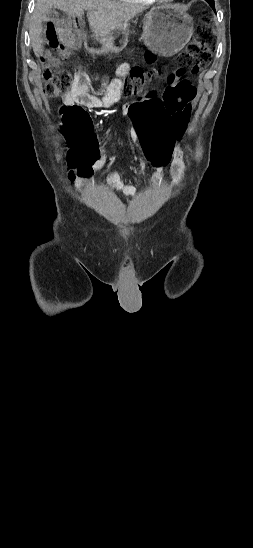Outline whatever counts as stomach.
<instances>
[{
  "mask_svg": "<svg viewBox=\"0 0 253 548\" xmlns=\"http://www.w3.org/2000/svg\"><path fill=\"white\" fill-rule=\"evenodd\" d=\"M193 34L192 18L183 10L172 5L152 8L144 18L142 38L145 45L161 56L179 52ZM127 28L111 36L93 35V43L87 48L94 54L119 53L128 44Z\"/></svg>",
  "mask_w": 253,
  "mask_h": 548,
  "instance_id": "obj_1",
  "label": "stomach"
}]
</instances>
